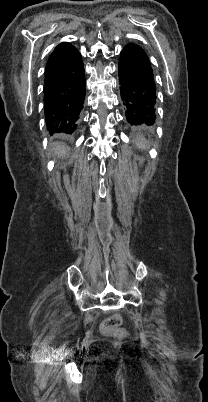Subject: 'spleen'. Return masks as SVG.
<instances>
[{
	"label": "spleen",
	"instance_id": "1",
	"mask_svg": "<svg viewBox=\"0 0 208 402\" xmlns=\"http://www.w3.org/2000/svg\"><path fill=\"white\" fill-rule=\"evenodd\" d=\"M136 146H138L139 150H146L147 148V142L143 136H139L137 140H135Z\"/></svg>",
	"mask_w": 208,
	"mask_h": 402
}]
</instances>
